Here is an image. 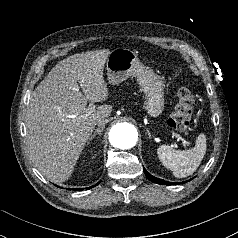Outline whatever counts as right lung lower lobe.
I'll use <instances>...</instances> for the list:
<instances>
[{
  "mask_svg": "<svg viewBox=\"0 0 238 238\" xmlns=\"http://www.w3.org/2000/svg\"><path fill=\"white\" fill-rule=\"evenodd\" d=\"M93 187H95V186H91V187H88V188H86V189H90V188H93ZM70 190V189H69ZM76 191H80L81 189H75Z\"/></svg>",
  "mask_w": 238,
  "mask_h": 238,
  "instance_id": "98d812e1",
  "label": "right lung lower lobe"
}]
</instances>
